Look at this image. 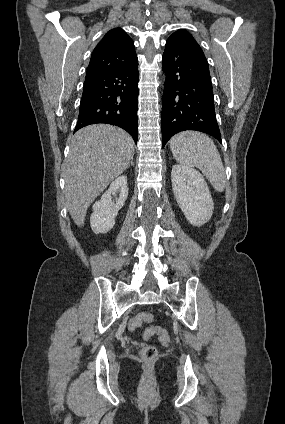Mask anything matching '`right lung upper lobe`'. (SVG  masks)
Returning a JSON list of instances; mask_svg holds the SVG:
<instances>
[{"label": "right lung upper lobe", "mask_w": 285, "mask_h": 424, "mask_svg": "<svg viewBox=\"0 0 285 424\" xmlns=\"http://www.w3.org/2000/svg\"><path fill=\"white\" fill-rule=\"evenodd\" d=\"M137 60L134 42L121 28L108 31L93 50L86 77L104 74Z\"/></svg>", "instance_id": "cb5924a9"}]
</instances>
